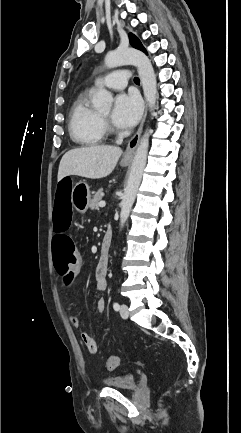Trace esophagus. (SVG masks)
Returning <instances> with one entry per match:
<instances>
[{
  "label": "esophagus",
  "instance_id": "obj_1",
  "mask_svg": "<svg viewBox=\"0 0 241 433\" xmlns=\"http://www.w3.org/2000/svg\"><path fill=\"white\" fill-rule=\"evenodd\" d=\"M146 115H147V103L145 102V110H144L142 121L140 123V126H139L136 134L128 142V145H127L126 150H125L124 155H123V160H131L133 158L135 149H136L138 142H139V139H140V135L142 133V129H143V125H144V122L146 119Z\"/></svg>",
  "mask_w": 241,
  "mask_h": 433
}]
</instances>
